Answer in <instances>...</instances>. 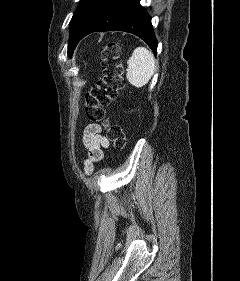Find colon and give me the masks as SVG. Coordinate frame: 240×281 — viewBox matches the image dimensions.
<instances>
[{
    "label": "colon",
    "mask_w": 240,
    "mask_h": 281,
    "mask_svg": "<svg viewBox=\"0 0 240 281\" xmlns=\"http://www.w3.org/2000/svg\"><path fill=\"white\" fill-rule=\"evenodd\" d=\"M117 43L109 41L102 53L101 77L85 95V113L89 121L104 126L115 149L126 146V137L122 128L112 123L106 116L107 107L124 87L123 68Z\"/></svg>",
    "instance_id": "5ec220e1"
}]
</instances>
